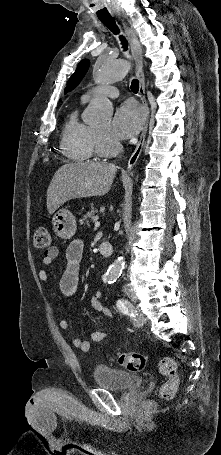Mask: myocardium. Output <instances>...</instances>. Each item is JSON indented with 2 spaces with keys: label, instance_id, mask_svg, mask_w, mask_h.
<instances>
[{
  "label": "myocardium",
  "instance_id": "myocardium-1",
  "mask_svg": "<svg viewBox=\"0 0 221 455\" xmlns=\"http://www.w3.org/2000/svg\"><path fill=\"white\" fill-rule=\"evenodd\" d=\"M94 147L96 153L102 156H111L119 152L120 143L108 138L94 128Z\"/></svg>",
  "mask_w": 221,
  "mask_h": 455
}]
</instances>
